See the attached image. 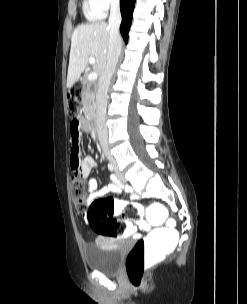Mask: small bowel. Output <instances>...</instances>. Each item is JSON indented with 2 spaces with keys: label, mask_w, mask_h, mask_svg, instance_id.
Segmentation results:
<instances>
[{
  "label": "small bowel",
  "mask_w": 247,
  "mask_h": 304,
  "mask_svg": "<svg viewBox=\"0 0 247 304\" xmlns=\"http://www.w3.org/2000/svg\"><path fill=\"white\" fill-rule=\"evenodd\" d=\"M72 119H79L80 113L79 112H72L71 113ZM68 125L70 127V143L69 151L71 153V156H69V163L71 165V169L74 173H77L80 177L83 179H87L89 175L91 174L92 170L97 166V161L91 157L88 156L86 158H83V152L82 149H79L78 146H80L82 131L81 129H86L87 124L84 120H69ZM122 190H125L131 195L132 199H137L138 196L136 193L132 191L129 187H124V185L120 182H118L116 179L111 178V183L108 186H105L101 189H98V183L97 180L94 178H90L87 182V191L89 192L87 201L91 202L95 199L101 198L108 193H119ZM149 229V225H145L144 220H138L133 226L130 224V234H134L137 230L146 231ZM132 231V232H131ZM129 235H125L124 237H127Z\"/></svg>",
  "instance_id": "c3829d8e"
}]
</instances>
